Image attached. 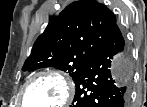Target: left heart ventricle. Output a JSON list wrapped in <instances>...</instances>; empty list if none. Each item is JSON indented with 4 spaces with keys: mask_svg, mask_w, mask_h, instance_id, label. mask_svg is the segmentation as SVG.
<instances>
[{
    "mask_svg": "<svg viewBox=\"0 0 147 107\" xmlns=\"http://www.w3.org/2000/svg\"><path fill=\"white\" fill-rule=\"evenodd\" d=\"M64 95L61 83L54 78L35 81L26 92V105L30 107H53Z\"/></svg>",
    "mask_w": 147,
    "mask_h": 107,
    "instance_id": "b2bd125f",
    "label": "left heart ventricle"
}]
</instances>
